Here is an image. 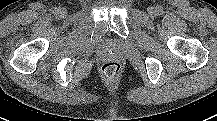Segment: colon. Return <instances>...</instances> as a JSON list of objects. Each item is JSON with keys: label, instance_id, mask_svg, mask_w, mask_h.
<instances>
[{"label": "colon", "instance_id": "1", "mask_svg": "<svg viewBox=\"0 0 217 121\" xmlns=\"http://www.w3.org/2000/svg\"><path fill=\"white\" fill-rule=\"evenodd\" d=\"M101 70H102L103 75L106 78L112 79V78H115L120 73L121 66L118 62L110 61V62L104 63L101 67Z\"/></svg>", "mask_w": 217, "mask_h": 121}]
</instances>
